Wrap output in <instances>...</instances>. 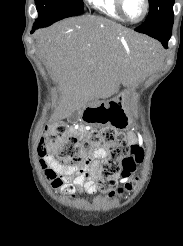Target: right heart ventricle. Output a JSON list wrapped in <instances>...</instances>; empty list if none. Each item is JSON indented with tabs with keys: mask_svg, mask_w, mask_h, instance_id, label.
<instances>
[{
	"mask_svg": "<svg viewBox=\"0 0 183 246\" xmlns=\"http://www.w3.org/2000/svg\"><path fill=\"white\" fill-rule=\"evenodd\" d=\"M89 4L100 13L119 20L125 21L122 15L119 13L115 0H87Z\"/></svg>",
	"mask_w": 183,
	"mask_h": 246,
	"instance_id": "e07e8e85",
	"label": "right heart ventricle"
}]
</instances>
